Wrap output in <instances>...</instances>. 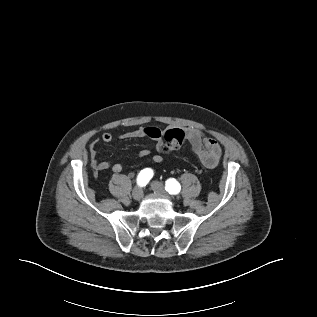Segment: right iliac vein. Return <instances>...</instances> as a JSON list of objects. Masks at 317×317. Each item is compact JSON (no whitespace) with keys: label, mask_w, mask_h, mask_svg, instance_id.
<instances>
[{"label":"right iliac vein","mask_w":317,"mask_h":317,"mask_svg":"<svg viewBox=\"0 0 317 317\" xmlns=\"http://www.w3.org/2000/svg\"><path fill=\"white\" fill-rule=\"evenodd\" d=\"M132 196L135 200L139 201L143 197V190L141 187H135L132 191Z\"/></svg>","instance_id":"63e3f726"}]
</instances>
